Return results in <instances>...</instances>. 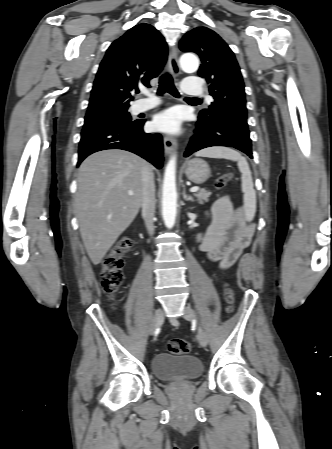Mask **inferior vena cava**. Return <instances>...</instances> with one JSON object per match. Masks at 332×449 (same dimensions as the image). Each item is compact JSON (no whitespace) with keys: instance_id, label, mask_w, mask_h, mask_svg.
<instances>
[{"instance_id":"obj_1","label":"inferior vena cava","mask_w":332,"mask_h":449,"mask_svg":"<svg viewBox=\"0 0 332 449\" xmlns=\"http://www.w3.org/2000/svg\"><path fill=\"white\" fill-rule=\"evenodd\" d=\"M155 203L154 174L147 165L142 169V215L150 235L154 232Z\"/></svg>"}]
</instances>
